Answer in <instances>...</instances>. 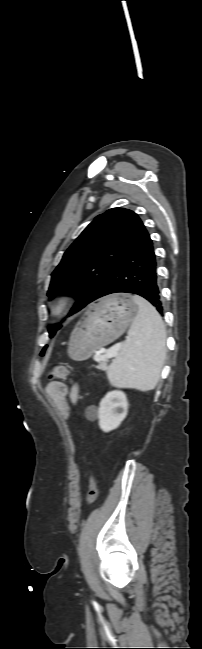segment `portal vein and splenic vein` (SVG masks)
I'll return each instance as SVG.
<instances>
[{
	"instance_id": "18ae733b",
	"label": "portal vein and splenic vein",
	"mask_w": 202,
	"mask_h": 649,
	"mask_svg": "<svg viewBox=\"0 0 202 649\" xmlns=\"http://www.w3.org/2000/svg\"><path fill=\"white\" fill-rule=\"evenodd\" d=\"M115 356H116V352H115V350H109V351H108L106 354H104V355H96V356H95V360H96L97 362H100V361H102V360H104V359L112 358V357H115Z\"/></svg>"
}]
</instances>
